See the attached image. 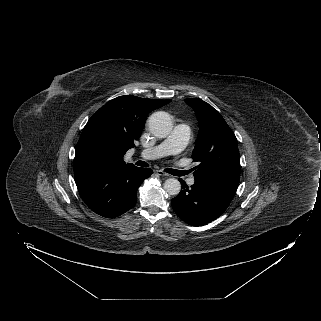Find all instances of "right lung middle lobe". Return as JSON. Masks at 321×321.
I'll list each match as a JSON object with an SVG mask.
<instances>
[{"instance_id": "1", "label": "right lung middle lobe", "mask_w": 321, "mask_h": 321, "mask_svg": "<svg viewBox=\"0 0 321 321\" xmlns=\"http://www.w3.org/2000/svg\"><path fill=\"white\" fill-rule=\"evenodd\" d=\"M111 157L108 145L98 138L78 142L75 150L74 169L92 172L107 167Z\"/></svg>"}]
</instances>
